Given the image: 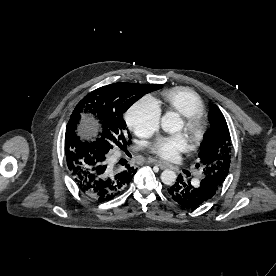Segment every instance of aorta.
Listing matches in <instances>:
<instances>
[{
    "label": "aorta",
    "mask_w": 276,
    "mask_h": 276,
    "mask_svg": "<svg viewBox=\"0 0 276 276\" xmlns=\"http://www.w3.org/2000/svg\"><path fill=\"white\" fill-rule=\"evenodd\" d=\"M161 127L165 132L176 133L182 129L183 121L179 114L167 112L161 118ZM176 178V173L170 169H166L161 173V181L166 185L174 184Z\"/></svg>",
    "instance_id": "aorta-1"
}]
</instances>
